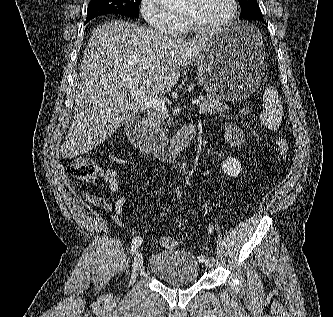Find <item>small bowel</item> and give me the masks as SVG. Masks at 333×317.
<instances>
[{"label": "small bowel", "instance_id": "obj_1", "mask_svg": "<svg viewBox=\"0 0 333 317\" xmlns=\"http://www.w3.org/2000/svg\"><path fill=\"white\" fill-rule=\"evenodd\" d=\"M225 134L227 143L232 147L241 146L246 143L244 132L236 125L227 124L225 126ZM104 177L109 191L117 193L118 184L116 180V172L113 169H107ZM84 196L90 203L103 209L106 213H114L116 222L121 221L126 200L125 195H119L114 203H111L105 198L95 194L85 193Z\"/></svg>", "mask_w": 333, "mask_h": 317}]
</instances>
